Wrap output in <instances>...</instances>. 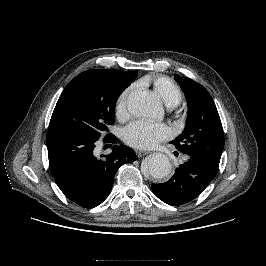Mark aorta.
Segmentation results:
<instances>
[{
    "instance_id": "1",
    "label": "aorta",
    "mask_w": 266,
    "mask_h": 266,
    "mask_svg": "<svg viewBox=\"0 0 266 266\" xmlns=\"http://www.w3.org/2000/svg\"><path fill=\"white\" fill-rule=\"evenodd\" d=\"M128 111L136 117H156L162 112L159 96L147 90L134 91L127 101ZM143 171L153 178L161 179L172 171L169 158L162 153H153L147 157Z\"/></svg>"
}]
</instances>
